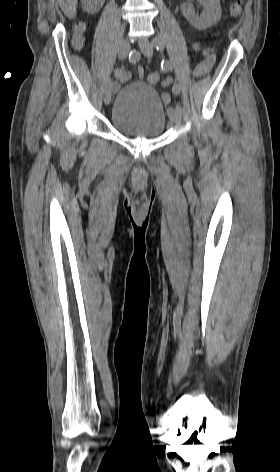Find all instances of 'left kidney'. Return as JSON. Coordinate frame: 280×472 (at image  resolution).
Instances as JSON below:
<instances>
[{
    "mask_svg": "<svg viewBox=\"0 0 280 472\" xmlns=\"http://www.w3.org/2000/svg\"><path fill=\"white\" fill-rule=\"evenodd\" d=\"M204 6V11L200 16L195 14L194 6L191 4H183L182 12L190 24L198 29L203 30L217 23L221 17L220 0H198Z\"/></svg>",
    "mask_w": 280,
    "mask_h": 472,
    "instance_id": "1",
    "label": "left kidney"
}]
</instances>
